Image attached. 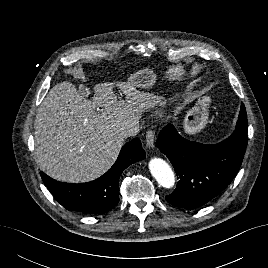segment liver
<instances>
[{
  "label": "liver",
  "instance_id": "6515ba94",
  "mask_svg": "<svg viewBox=\"0 0 268 268\" xmlns=\"http://www.w3.org/2000/svg\"><path fill=\"white\" fill-rule=\"evenodd\" d=\"M118 85L125 100L117 99L111 83L98 84L93 100L68 81L49 91L35 119V156L43 172L59 181L82 183L113 165L124 143L120 133L139 124L140 113L158 102L125 82Z\"/></svg>",
  "mask_w": 268,
  "mask_h": 268
}]
</instances>
